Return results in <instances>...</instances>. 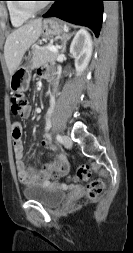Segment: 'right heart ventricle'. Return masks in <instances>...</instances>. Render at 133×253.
I'll return each instance as SVG.
<instances>
[{
    "label": "right heart ventricle",
    "instance_id": "obj_1",
    "mask_svg": "<svg viewBox=\"0 0 133 253\" xmlns=\"http://www.w3.org/2000/svg\"><path fill=\"white\" fill-rule=\"evenodd\" d=\"M7 11H8V14H9L10 22L14 27L22 26L31 17L29 15H25V14L20 12V10L17 7V3L15 2V0L8 1Z\"/></svg>",
    "mask_w": 133,
    "mask_h": 253
}]
</instances>
